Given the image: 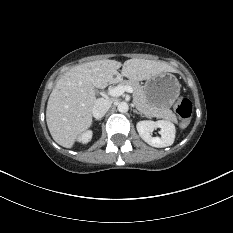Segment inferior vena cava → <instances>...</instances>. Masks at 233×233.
<instances>
[{"instance_id": "1", "label": "inferior vena cava", "mask_w": 233, "mask_h": 233, "mask_svg": "<svg viewBox=\"0 0 233 233\" xmlns=\"http://www.w3.org/2000/svg\"><path fill=\"white\" fill-rule=\"evenodd\" d=\"M111 107V102L104 98H99L96 100L92 114L96 119H101Z\"/></svg>"}]
</instances>
